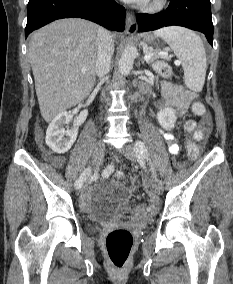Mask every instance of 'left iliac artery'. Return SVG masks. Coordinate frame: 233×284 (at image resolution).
<instances>
[{
	"label": "left iliac artery",
	"mask_w": 233,
	"mask_h": 284,
	"mask_svg": "<svg viewBox=\"0 0 233 284\" xmlns=\"http://www.w3.org/2000/svg\"><path fill=\"white\" fill-rule=\"evenodd\" d=\"M135 148H136V151H137L138 155H140L142 157H145L147 160L150 161L147 148H146L145 144L142 141H139V140L136 141ZM150 165H151L152 171L154 172V167H153V164L151 163V161H150Z\"/></svg>",
	"instance_id": "1"
}]
</instances>
